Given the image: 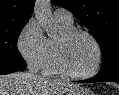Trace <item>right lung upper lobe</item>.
<instances>
[{"label": "right lung upper lobe", "instance_id": "obj_1", "mask_svg": "<svg viewBox=\"0 0 119 95\" xmlns=\"http://www.w3.org/2000/svg\"><path fill=\"white\" fill-rule=\"evenodd\" d=\"M35 0H0V27L28 22Z\"/></svg>", "mask_w": 119, "mask_h": 95}]
</instances>
